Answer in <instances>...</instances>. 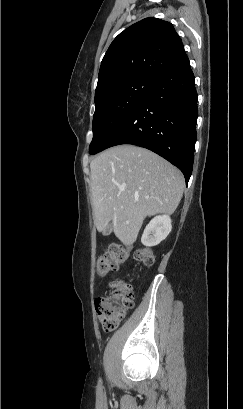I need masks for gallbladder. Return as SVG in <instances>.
<instances>
[{"label":"gallbladder","mask_w":243,"mask_h":409,"mask_svg":"<svg viewBox=\"0 0 243 409\" xmlns=\"http://www.w3.org/2000/svg\"><path fill=\"white\" fill-rule=\"evenodd\" d=\"M112 230H113V226H112V224L110 223V224L104 229L103 235H105V236L110 235L111 232H112Z\"/></svg>","instance_id":"1"}]
</instances>
